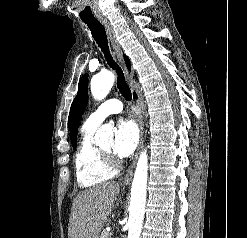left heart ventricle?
Instances as JSON below:
<instances>
[{"mask_svg":"<svg viewBox=\"0 0 247 238\" xmlns=\"http://www.w3.org/2000/svg\"><path fill=\"white\" fill-rule=\"evenodd\" d=\"M103 150L110 152L111 151V144H107V145L103 146Z\"/></svg>","mask_w":247,"mask_h":238,"instance_id":"b2bd125f","label":"left heart ventricle"}]
</instances>
